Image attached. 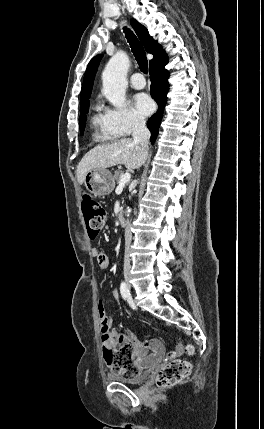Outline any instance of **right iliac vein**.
<instances>
[{
    "label": "right iliac vein",
    "mask_w": 264,
    "mask_h": 429,
    "mask_svg": "<svg viewBox=\"0 0 264 429\" xmlns=\"http://www.w3.org/2000/svg\"><path fill=\"white\" fill-rule=\"evenodd\" d=\"M124 278H125V281H126L127 287L130 289V288H131V285H130V283H129V279H130V277H129V273H128V272H125V273H124Z\"/></svg>",
    "instance_id": "63e3f726"
}]
</instances>
